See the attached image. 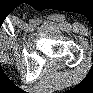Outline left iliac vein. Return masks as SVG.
Masks as SVG:
<instances>
[{"mask_svg":"<svg viewBox=\"0 0 93 93\" xmlns=\"http://www.w3.org/2000/svg\"><path fill=\"white\" fill-rule=\"evenodd\" d=\"M30 23H31V24H34V20H31Z\"/></svg>","mask_w":93,"mask_h":93,"instance_id":"4c4485c4","label":"left iliac vein"}]
</instances>
